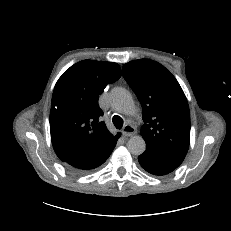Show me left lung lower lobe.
Returning <instances> with one entry per match:
<instances>
[{
  "instance_id": "0a47b994",
  "label": "left lung lower lobe",
  "mask_w": 231,
  "mask_h": 231,
  "mask_svg": "<svg viewBox=\"0 0 231 231\" xmlns=\"http://www.w3.org/2000/svg\"><path fill=\"white\" fill-rule=\"evenodd\" d=\"M183 160V156H175L147 148L143 154L138 156L142 168L153 175L168 174L176 169Z\"/></svg>"
}]
</instances>
